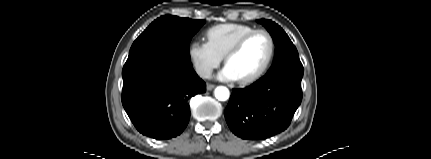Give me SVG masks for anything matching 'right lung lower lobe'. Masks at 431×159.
Returning a JSON list of instances; mask_svg holds the SVG:
<instances>
[{
    "label": "right lung lower lobe",
    "instance_id": "1",
    "mask_svg": "<svg viewBox=\"0 0 431 159\" xmlns=\"http://www.w3.org/2000/svg\"><path fill=\"white\" fill-rule=\"evenodd\" d=\"M122 77L126 113L140 133L157 140L180 135L189 122L190 98L206 92L190 60L159 47L129 56Z\"/></svg>",
    "mask_w": 431,
    "mask_h": 159
}]
</instances>
